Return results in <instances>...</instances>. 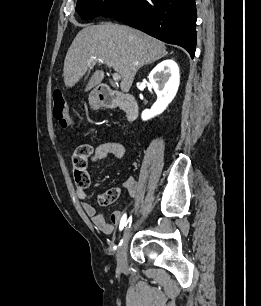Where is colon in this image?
<instances>
[{"label":"colon","mask_w":261,"mask_h":306,"mask_svg":"<svg viewBox=\"0 0 261 306\" xmlns=\"http://www.w3.org/2000/svg\"><path fill=\"white\" fill-rule=\"evenodd\" d=\"M52 114L54 119L58 121L63 128H66L71 124L68 107L60 90H55L53 93ZM91 153L92 147L89 144L78 146L73 155L74 168H84ZM119 194V189L117 187H112L100 197L99 201L103 205L111 204L117 200Z\"/></svg>","instance_id":"obj_1"}]
</instances>
